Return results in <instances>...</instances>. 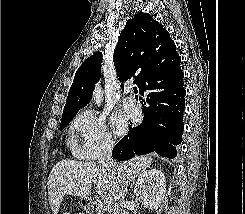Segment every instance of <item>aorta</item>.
Instances as JSON below:
<instances>
[{"label":"aorta","instance_id":"aorta-1","mask_svg":"<svg viewBox=\"0 0 245 214\" xmlns=\"http://www.w3.org/2000/svg\"><path fill=\"white\" fill-rule=\"evenodd\" d=\"M93 101L97 106H100L103 101V92L100 84L96 85L95 87Z\"/></svg>","mask_w":245,"mask_h":214}]
</instances>
